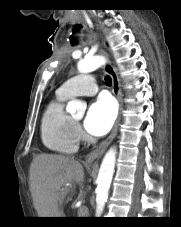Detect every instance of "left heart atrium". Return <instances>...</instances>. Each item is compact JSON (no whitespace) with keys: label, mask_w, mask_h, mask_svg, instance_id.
<instances>
[{"label":"left heart atrium","mask_w":181,"mask_h":227,"mask_svg":"<svg viewBox=\"0 0 181 227\" xmlns=\"http://www.w3.org/2000/svg\"><path fill=\"white\" fill-rule=\"evenodd\" d=\"M115 117L116 107L114 102L108 97H100L89 106L84 127L90 134L102 136L110 130Z\"/></svg>","instance_id":"left-heart-atrium-1"}]
</instances>
